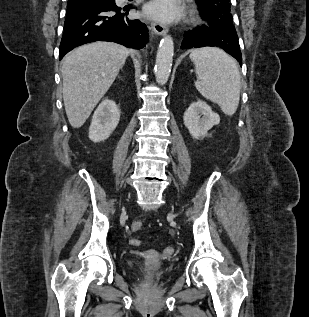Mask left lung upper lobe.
Returning <instances> with one entry per match:
<instances>
[{"mask_svg": "<svg viewBox=\"0 0 309 317\" xmlns=\"http://www.w3.org/2000/svg\"><path fill=\"white\" fill-rule=\"evenodd\" d=\"M200 13L218 28L235 30L230 0H197Z\"/></svg>", "mask_w": 309, "mask_h": 317, "instance_id": "left-lung-upper-lobe-1", "label": "left lung upper lobe"}]
</instances>
